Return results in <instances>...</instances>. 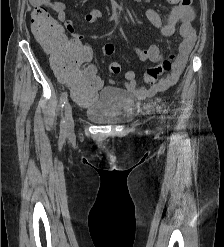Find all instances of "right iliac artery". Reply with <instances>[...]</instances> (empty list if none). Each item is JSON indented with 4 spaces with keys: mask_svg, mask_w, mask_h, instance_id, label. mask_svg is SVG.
<instances>
[{
    "mask_svg": "<svg viewBox=\"0 0 224 247\" xmlns=\"http://www.w3.org/2000/svg\"><path fill=\"white\" fill-rule=\"evenodd\" d=\"M67 92H63L61 94V97H60V107L61 109H63V107L65 106L66 102H67ZM66 133V122L64 120V118L61 119V122H60V134L62 136H64Z\"/></svg>",
    "mask_w": 224,
    "mask_h": 247,
    "instance_id": "obj_1",
    "label": "right iliac artery"
}]
</instances>
